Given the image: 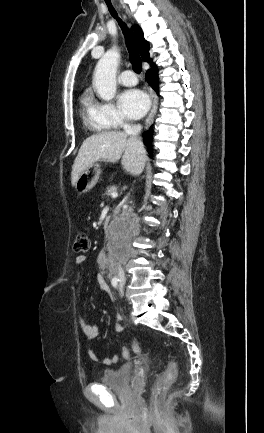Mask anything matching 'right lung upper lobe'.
I'll return each mask as SVG.
<instances>
[{
    "mask_svg": "<svg viewBox=\"0 0 264 433\" xmlns=\"http://www.w3.org/2000/svg\"><path fill=\"white\" fill-rule=\"evenodd\" d=\"M132 30L134 31V35H135L136 40L138 42V48H139V52H140L141 57L144 60L151 62L153 64L152 60L150 59V54H149V43L144 39L142 29L138 25H133Z\"/></svg>",
    "mask_w": 264,
    "mask_h": 433,
    "instance_id": "cb5924a9",
    "label": "right lung upper lobe"
}]
</instances>
